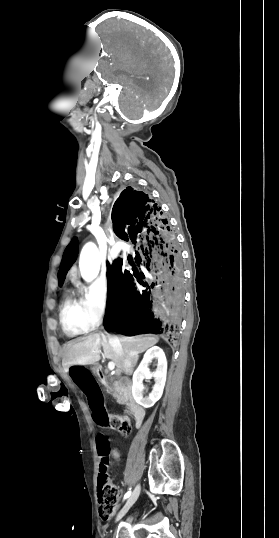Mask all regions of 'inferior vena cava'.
Instances as JSON below:
<instances>
[{"label":"inferior vena cava","instance_id":"obj_1","mask_svg":"<svg viewBox=\"0 0 279 538\" xmlns=\"http://www.w3.org/2000/svg\"><path fill=\"white\" fill-rule=\"evenodd\" d=\"M109 343L114 348L113 350L116 351L117 354L120 353L121 355L122 345L120 340L117 337H114V335H110Z\"/></svg>","mask_w":279,"mask_h":538}]
</instances>
